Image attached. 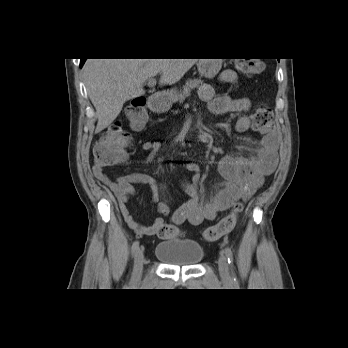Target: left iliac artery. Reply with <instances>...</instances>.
<instances>
[{"label": "left iliac artery", "mask_w": 348, "mask_h": 348, "mask_svg": "<svg viewBox=\"0 0 348 348\" xmlns=\"http://www.w3.org/2000/svg\"><path fill=\"white\" fill-rule=\"evenodd\" d=\"M225 255L228 259V263L231 266L233 282H234V284H238L237 278L235 277V275L233 273V253L229 247L225 248Z\"/></svg>", "instance_id": "obj_1"}]
</instances>
